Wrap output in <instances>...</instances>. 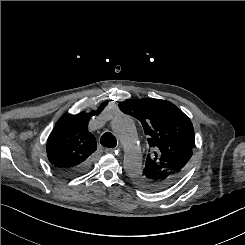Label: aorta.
<instances>
[{
    "label": "aorta",
    "mask_w": 245,
    "mask_h": 245,
    "mask_svg": "<svg viewBox=\"0 0 245 245\" xmlns=\"http://www.w3.org/2000/svg\"><path fill=\"white\" fill-rule=\"evenodd\" d=\"M111 128L124 148L125 171L128 175L139 174L142 170V157L134 122L128 116L119 115L112 121Z\"/></svg>",
    "instance_id": "762f6f07"
}]
</instances>
